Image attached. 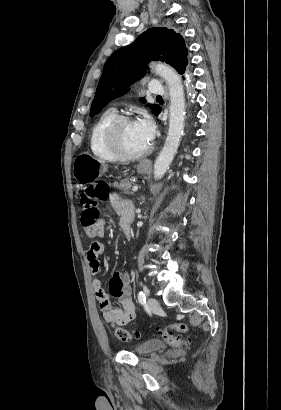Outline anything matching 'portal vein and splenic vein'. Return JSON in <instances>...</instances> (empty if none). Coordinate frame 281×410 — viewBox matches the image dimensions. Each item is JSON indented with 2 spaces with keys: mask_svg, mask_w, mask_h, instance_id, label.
<instances>
[{
  "mask_svg": "<svg viewBox=\"0 0 281 410\" xmlns=\"http://www.w3.org/2000/svg\"><path fill=\"white\" fill-rule=\"evenodd\" d=\"M137 190H138V186H137V185H135V186L132 187V191H133V192H136Z\"/></svg>",
  "mask_w": 281,
  "mask_h": 410,
  "instance_id": "obj_1",
  "label": "portal vein and splenic vein"
}]
</instances>
